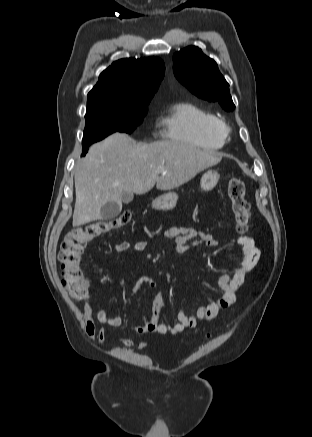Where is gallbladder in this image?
<instances>
[{
    "label": "gallbladder",
    "instance_id": "gallbladder-1",
    "mask_svg": "<svg viewBox=\"0 0 312 437\" xmlns=\"http://www.w3.org/2000/svg\"><path fill=\"white\" fill-rule=\"evenodd\" d=\"M133 200V193L123 192L122 201L129 203ZM122 206L116 201H109L101 208V217L103 220H111L116 218L121 212Z\"/></svg>",
    "mask_w": 312,
    "mask_h": 437
}]
</instances>
